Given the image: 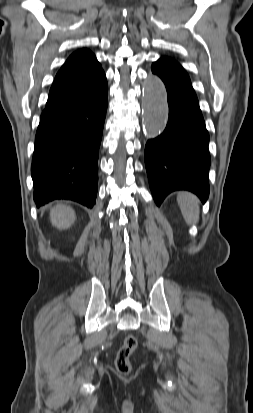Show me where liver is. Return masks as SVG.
I'll list each match as a JSON object with an SVG mask.
<instances>
[{
  "label": "liver",
  "instance_id": "6515ba94",
  "mask_svg": "<svg viewBox=\"0 0 253 413\" xmlns=\"http://www.w3.org/2000/svg\"><path fill=\"white\" fill-rule=\"evenodd\" d=\"M74 210L65 205H57L50 211V220L53 226L62 230L68 229L75 222Z\"/></svg>",
  "mask_w": 253,
  "mask_h": 413
}]
</instances>
